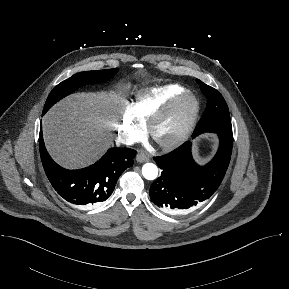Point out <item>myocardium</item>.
Segmentation results:
<instances>
[{"label":"myocardium","mask_w":289,"mask_h":289,"mask_svg":"<svg viewBox=\"0 0 289 289\" xmlns=\"http://www.w3.org/2000/svg\"><path fill=\"white\" fill-rule=\"evenodd\" d=\"M187 102L189 111L186 119L178 133L167 140H158L155 137V129L158 123L164 119L178 104ZM200 110V103L197 96L190 90H184L166 101L157 109L147 121V132L149 136L164 149H172L184 143L192 133Z\"/></svg>","instance_id":"myocardium-1"}]
</instances>
